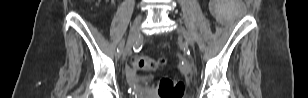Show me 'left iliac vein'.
<instances>
[{
	"mask_svg": "<svg viewBox=\"0 0 308 98\" xmlns=\"http://www.w3.org/2000/svg\"><path fill=\"white\" fill-rule=\"evenodd\" d=\"M177 32L180 33L190 43L193 49L195 48L194 38L186 28L179 26L177 28Z\"/></svg>",
	"mask_w": 308,
	"mask_h": 98,
	"instance_id": "left-iliac-vein-1",
	"label": "left iliac vein"
}]
</instances>
